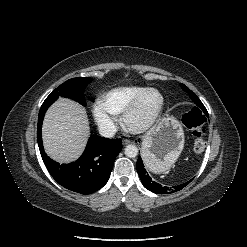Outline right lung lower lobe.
Wrapping results in <instances>:
<instances>
[{"label": "right lung lower lobe", "instance_id": "obj_1", "mask_svg": "<svg viewBox=\"0 0 247 247\" xmlns=\"http://www.w3.org/2000/svg\"><path fill=\"white\" fill-rule=\"evenodd\" d=\"M56 99H46L38 115L37 140L46 168L64 188L80 194H91L108 181L115 158L122 149L121 139L91 136L79 159L70 164L54 162L43 150L42 123L46 110Z\"/></svg>", "mask_w": 247, "mask_h": 247}]
</instances>
